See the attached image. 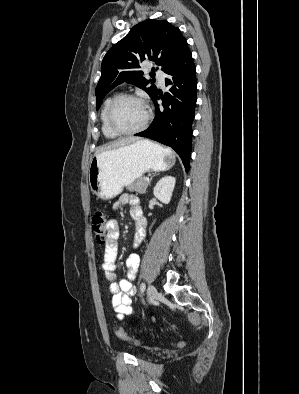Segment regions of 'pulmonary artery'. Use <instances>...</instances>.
I'll return each instance as SVG.
<instances>
[{"mask_svg":"<svg viewBox=\"0 0 299 394\" xmlns=\"http://www.w3.org/2000/svg\"><path fill=\"white\" fill-rule=\"evenodd\" d=\"M156 75H157L160 85L163 86L165 84V77H166L165 73L163 71H157Z\"/></svg>","mask_w":299,"mask_h":394,"instance_id":"obj_1","label":"pulmonary artery"}]
</instances>
